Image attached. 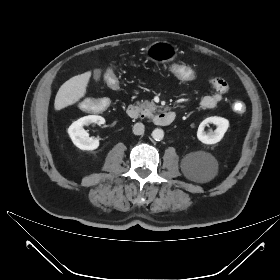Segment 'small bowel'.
<instances>
[{"label": "small bowel", "instance_id": "small-bowel-1", "mask_svg": "<svg viewBox=\"0 0 280 280\" xmlns=\"http://www.w3.org/2000/svg\"><path fill=\"white\" fill-rule=\"evenodd\" d=\"M209 82L215 92L206 95L201 99L200 106L203 109H213L216 107L222 101L224 95L228 91L226 82L218 77H211Z\"/></svg>", "mask_w": 280, "mask_h": 280}]
</instances>
